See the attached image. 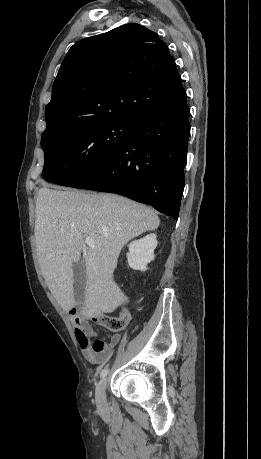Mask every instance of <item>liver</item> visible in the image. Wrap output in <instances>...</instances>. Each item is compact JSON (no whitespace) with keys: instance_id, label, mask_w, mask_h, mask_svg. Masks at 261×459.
<instances>
[{"instance_id":"6515ba94","label":"liver","mask_w":261,"mask_h":459,"mask_svg":"<svg viewBox=\"0 0 261 459\" xmlns=\"http://www.w3.org/2000/svg\"><path fill=\"white\" fill-rule=\"evenodd\" d=\"M157 214L120 195L40 188L35 208V241L45 281L60 306H75L73 265L87 271L83 319L113 311L123 300L113 281L119 254L131 239L159 227ZM90 236L94 245L84 239Z\"/></svg>"}]
</instances>
